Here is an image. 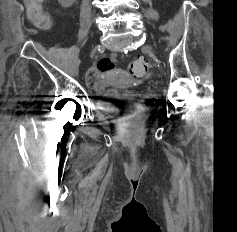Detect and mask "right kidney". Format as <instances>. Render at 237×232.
<instances>
[{
    "instance_id": "ca27d5eb",
    "label": "right kidney",
    "mask_w": 237,
    "mask_h": 232,
    "mask_svg": "<svg viewBox=\"0 0 237 232\" xmlns=\"http://www.w3.org/2000/svg\"><path fill=\"white\" fill-rule=\"evenodd\" d=\"M75 1L76 0H58V2L63 8H68L72 6Z\"/></svg>"
}]
</instances>
